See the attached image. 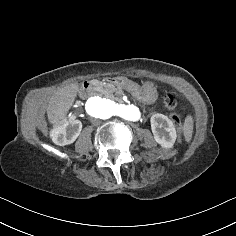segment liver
<instances>
[{
	"mask_svg": "<svg viewBox=\"0 0 236 236\" xmlns=\"http://www.w3.org/2000/svg\"><path fill=\"white\" fill-rule=\"evenodd\" d=\"M80 90L79 83H71L58 89L46 107L47 121L54 128H60L68 118Z\"/></svg>",
	"mask_w": 236,
	"mask_h": 236,
	"instance_id": "1",
	"label": "liver"
}]
</instances>
